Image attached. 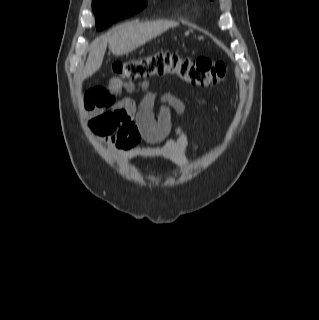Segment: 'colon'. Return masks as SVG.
<instances>
[{"mask_svg": "<svg viewBox=\"0 0 319 320\" xmlns=\"http://www.w3.org/2000/svg\"><path fill=\"white\" fill-rule=\"evenodd\" d=\"M113 72L115 81L121 85L145 81L154 76L175 75L192 85L213 87L225 78L227 67L204 56L194 57L161 51L131 61L116 62ZM119 131L129 145H136L141 141L158 143L169 133L167 128L157 126L148 118L135 122L130 117L123 118Z\"/></svg>", "mask_w": 319, "mask_h": 320, "instance_id": "obj_1", "label": "colon"}]
</instances>
